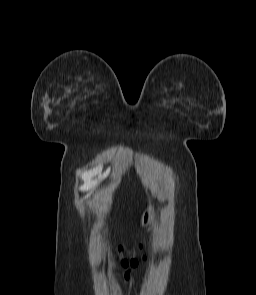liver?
<instances>
[{
  "label": "liver",
  "instance_id": "6515ba94",
  "mask_svg": "<svg viewBox=\"0 0 256 295\" xmlns=\"http://www.w3.org/2000/svg\"><path fill=\"white\" fill-rule=\"evenodd\" d=\"M102 198H103V200H104V201H106V200H107V195H106V192H104V193L102 194Z\"/></svg>",
  "mask_w": 256,
  "mask_h": 295
}]
</instances>
